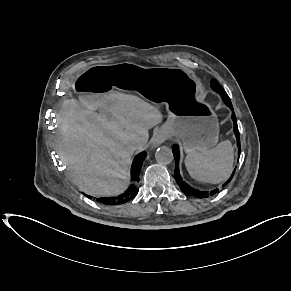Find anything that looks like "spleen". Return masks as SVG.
Returning <instances> with one entry per match:
<instances>
[{
	"mask_svg": "<svg viewBox=\"0 0 291 291\" xmlns=\"http://www.w3.org/2000/svg\"><path fill=\"white\" fill-rule=\"evenodd\" d=\"M234 149L229 140L203 152L190 153L185 166L190 176L200 182L217 184L228 179L233 169Z\"/></svg>",
	"mask_w": 291,
	"mask_h": 291,
	"instance_id": "obj_1",
	"label": "spleen"
}]
</instances>
